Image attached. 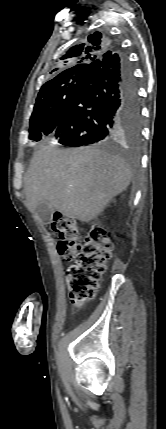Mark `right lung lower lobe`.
Returning <instances> with one entry per match:
<instances>
[{"label":"right lung lower lobe","instance_id":"1","mask_svg":"<svg viewBox=\"0 0 166 429\" xmlns=\"http://www.w3.org/2000/svg\"><path fill=\"white\" fill-rule=\"evenodd\" d=\"M141 125L138 83L127 57L112 51L93 61L53 135L69 146L104 144Z\"/></svg>","mask_w":166,"mask_h":429}]
</instances>
